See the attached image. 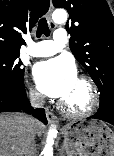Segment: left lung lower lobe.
<instances>
[{
	"label": "left lung lower lobe",
	"instance_id": "obj_1",
	"mask_svg": "<svg viewBox=\"0 0 114 156\" xmlns=\"http://www.w3.org/2000/svg\"><path fill=\"white\" fill-rule=\"evenodd\" d=\"M90 118L103 120L114 125V100L100 103L97 113Z\"/></svg>",
	"mask_w": 114,
	"mask_h": 156
}]
</instances>
